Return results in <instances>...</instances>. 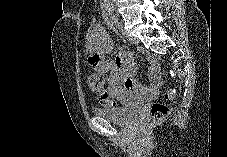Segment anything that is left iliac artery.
I'll list each match as a JSON object with an SVG mask.
<instances>
[{
  "mask_svg": "<svg viewBox=\"0 0 227 157\" xmlns=\"http://www.w3.org/2000/svg\"><path fill=\"white\" fill-rule=\"evenodd\" d=\"M116 26H117V27H119V23H118V21L116 22Z\"/></svg>",
  "mask_w": 227,
  "mask_h": 157,
  "instance_id": "1",
  "label": "left iliac artery"
}]
</instances>
